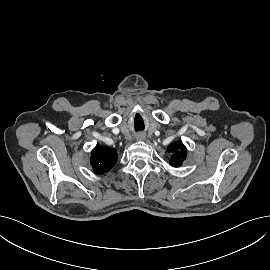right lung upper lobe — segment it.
Returning a JSON list of instances; mask_svg holds the SVG:
<instances>
[{
  "label": "right lung upper lobe",
  "instance_id": "1",
  "mask_svg": "<svg viewBox=\"0 0 270 270\" xmlns=\"http://www.w3.org/2000/svg\"><path fill=\"white\" fill-rule=\"evenodd\" d=\"M117 161V152L109 147L97 146L91 154V165L96 173L109 171Z\"/></svg>",
  "mask_w": 270,
  "mask_h": 270
}]
</instances>
